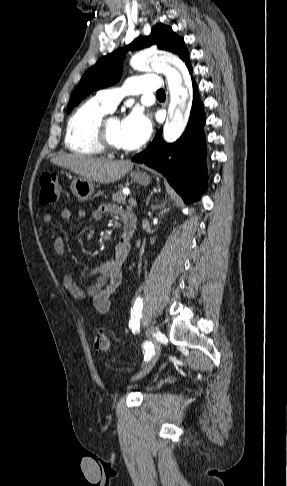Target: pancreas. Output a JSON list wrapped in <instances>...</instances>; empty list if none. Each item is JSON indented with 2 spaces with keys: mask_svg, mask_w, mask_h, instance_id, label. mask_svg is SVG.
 <instances>
[{
  "mask_svg": "<svg viewBox=\"0 0 287 486\" xmlns=\"http://www.w3.org/2000/svg\"><path fill=\"white\" fill-rule=\"evenodd\" d=\"M112 200L113 202H117L119 204H126V195L123 193L122 190H119L116 193H113L112 195Z\"/></svg>",
  "mask_w": 287,
  "mask_h": 486,
  "instance_id": "obj_1",
  "label": "pancreas"
}]
</instances>
